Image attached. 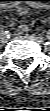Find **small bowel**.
Here are the masks:
<instances>
[{
	"mask_svg": "<svg viewBox=\"0 0 50 111\" xmlns=\"http://www.w3.org/2000/svg\"><path fill=\"white\" fill-rule=\"evenodd\" d=\"M15 10H16V12H17L19 15H25V14H27V13L29 12L28 8L25 7V6H18V7H16ZM28 29H29L28 25L22 24V25H20V26L18 27V29H17L16 32H17L18 35H20V34H23V33L27 32Z\"/></svg>",
	"mask_w": 50,
	"mask_h": 111,
	"instance_id": "obj_1",
	"label": "small bowel"
}]
</instances>
